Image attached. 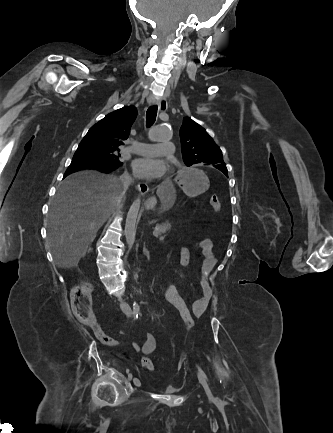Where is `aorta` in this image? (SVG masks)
<instances>
[{
  "label": "aorta",
  "instance_id": "obj_1",
  "mask_svg": "<svg viewBox=\"0 0 333 433\" xmlns=\"http://www.w3.org/2000/svg\"><path fill=\"white\" fill-rule=\"evenodd\" d=\"M149 139L158 143H167L172 140V131L170 127L158 125L150 129ZM141 206V199L137 198L130 206L125 223V237L129 248H132L135 242L137 217Z\"/></svg>",
  "mask_w": 333,
  "mask_h": 433
}]
</instances>
